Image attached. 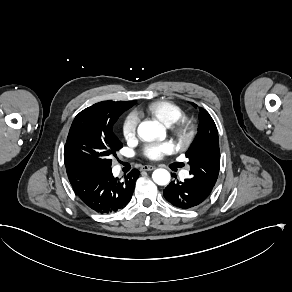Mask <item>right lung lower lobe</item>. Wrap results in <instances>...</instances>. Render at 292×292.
<instances>
[{
    "instance_id": "right-lung-lower-lobe-1",
    "label": "right lung lower lobe",
    "mask_w": 292,
    "mask_h": 292,
    "mask_svg": "<svg viewBox=\"0 0 292 292\" xmlns=\"http://www.w3.org/2000/svg\"><path fill=\"white\" fill-rule=\"evenodd\" d=\"M68 179L77 196L92 210L109 214L123 209L131 200L140 172L133 169L123 180L110 169L86 166L66 168Z\"/></svg>"
}]
</instances>
